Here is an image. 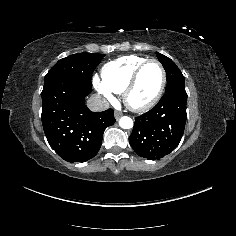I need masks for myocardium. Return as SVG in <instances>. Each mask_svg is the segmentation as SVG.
Listing matches in <instances>:
<instances>
[{
    "label": "myocardium",
    "mask_w": 236,
    "mask_h": 236,
    "mask_svg": "<svg viewBox=\"0 0 236 236\" xmlns=\"http://www.w3.org/2000/svg\"><path fill=\"white\" fill-rule=\"evenodd\" d=\"M150 63H156L157 65H159V67L161 69L162 78H161L160 86H159L155 96L149 102L144 103V104H134L130 101V94H131L132 90L134 89L142 70ZM166 83H167V71H166V68L163 65V63L157 59H154V58L147 59L144 62H142L141 64H139L137 66V68L134 70L131 78L129 79L127 85L125 86V88L122 92L123 101H124L125 105L133 111H136V112L147 111V110L153 108L160 101V99L163 95V92L165 90Z\"/></svg>",
    "instance_id": "myocardium-1"
}]
</instances>
